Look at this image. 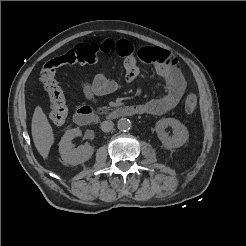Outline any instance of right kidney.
Listing matches in <instances>:
<instances>
[{
	"mask_svg": "<svg viewBox=\"0 0 246 246\" xmlns=\"http://www.w3.org/2000/svg\"><path fill=\"white\" fill-rule=\"evenodd\" d=\"M81 135L79 128L68 130L59 142V153L65 164L76 166L89 160L94 152V148L90 145H82L73 148L71 141Z\"/></svg>",
	"mask_w": 246,
	"mask_h": 246,
	"instance_id": "ca27d5eb",
	"label": "right kidney"
}]
</instances>
